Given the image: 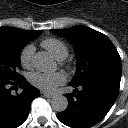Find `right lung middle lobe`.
Wrapping results in <instances>:
<instances>
[{
    "label": "right lung middle lobe",
    "instance_id": "obj_1",
    "mask_svg": "<svg viewBox=\"0 0 128 128\" xmlns=\"http://www.w3.org/2000/svg\"><path fill=\"white\" fill-rule=\"evenodd\" d=\"M42 31L34 35H23L15 32L0 33V80L13 81L22 77L17 68L20 63L22 48Z\"/></svg>",
    "mask_w": 128,
    "mask_h": 128
}]
</instances>
